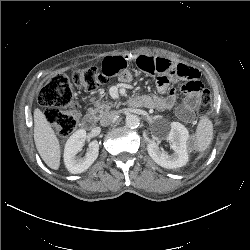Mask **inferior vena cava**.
I'll use <instances>...</instances> for the list:
<instances>
[{
	"instance_id": "602c4592",
	"label": "inferior vena cava",
	"mask_w": 250,
	"mask_h": 250,
	"mask_svg": "<svg viewBox=\"0 0 250 250\" xmlns=\"http://www.w3.org/2000/svg\"><path fill=\"white\" fill-rule=\"evenodd\" d=\"M117 115H118L117 111H108V112H105L101 116L100 124L102 126H108V125H110L115 120V118L117 117Z\"/></svg>"
}]
</instances>
